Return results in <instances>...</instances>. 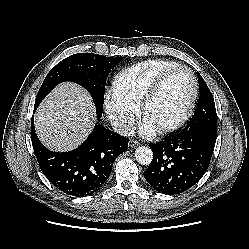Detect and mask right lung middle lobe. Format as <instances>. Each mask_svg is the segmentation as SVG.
I'll return each mask as SVG.
<instances>
[{"label":"right lung middle lobe","instance_id":"obj_1","mask_svg":"<svg viewBox=\"0 0 249 249\" xmlns=\"http://www.w3.org/2000/svg\"><path fill=\"white\" fill-rule=\"evenodd\" d=\"M121 59L122 57L110 58L94 53H78L65 58L47 74L34 107L37 108L57 84L72 81L88 90L96 105L97 115L101 117L107 76Z\"/></svg>","mask_w":249,"mask_h":249}]
</instances>
